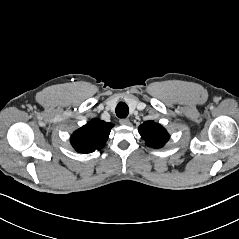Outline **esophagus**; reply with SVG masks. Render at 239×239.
<instances>
[{
    "label": "esophagus",
    "instance_id": "1",
    "mask_svg": "<svg viewBox=\"0 0 239 239\" xmlns=\"http://www.w3.org/2000/svg\"><path fill=\"white\" fill-rule=\"evenodd\" d=\"M121 125H129L130 124V120L128 118H122L119 120Z\"/></svg>",
    "mask_w": 239,
    "mask_h": 239
}]
</instances>
